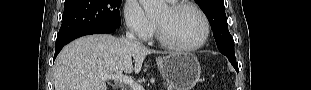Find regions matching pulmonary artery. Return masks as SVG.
<instances>
[{
  "label": "pulmonary artery",
  "mask_w": 311,
  "mask_h": 90,
  "mask_svg": "<svg viewBox=\"0 0 311 90\" xmlns=\"http://www.w3.org/2000/svg\"><path fill=\"white\" fill-rule=\"evenodd\" d=\"M169 3H175L176 0H167Z\"/></svg>",
  "instance_id": "e3ab8cb5"
}]
</instances>
